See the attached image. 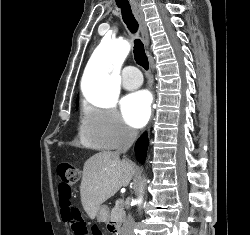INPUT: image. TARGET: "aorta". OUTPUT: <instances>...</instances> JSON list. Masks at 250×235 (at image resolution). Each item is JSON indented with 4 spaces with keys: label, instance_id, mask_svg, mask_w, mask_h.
<instances>
[{
    "label": "aorta",
    "instance_id": "aorta-1",
    "mask_svg": "<svg viewBox=\"0 0 250 235\" xmlns=\"http://www.w3.org/2000/svg\"><path fill=\"white\" fill-rule=\"evenodd\" d=\"M130 51L127 41L112 44L102 41L95 49L87 66L85 97L100 106L113 105L119 93V66ZM141 199L136 202L141 203Z\"/></svg>",
    "mask_w": 250,
    "mask_h": 235
}]
</instances>
